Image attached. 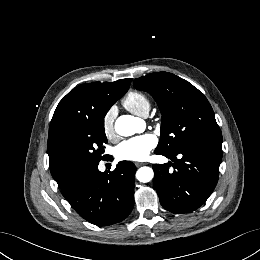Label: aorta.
Listing matches in <instances>:
<instances>
[{
  "mask_svg": "<svg viewBox=\"0 0 260 260\" xmlns=\"http://www.w3.org/2000/svg\"><path fill=\"white\" fill-rule=\"evenodd\" d=\"M141 120L131 115H122L115 121V131L121 136H131L138 132ZM154 177L152 168L144 166L137 170L136 178L142 183L151 181Z\"/></svg>",
  "mask_w": 260,
  "mask_h": 260,
  "instance_id": "obj_1",
  "label": "aorta"
}]
</instances>
